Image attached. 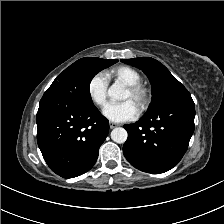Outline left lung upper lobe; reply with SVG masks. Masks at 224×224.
Masks as SVG:
<instances>
[{"label":"left lung upper lobe","instance_id":"5c2ea615","mask_svg":"<svg viewBox=\"0 0 224 224\" xmlns=\"http://www.w3.org/2000/svg\"><path fill=\"white\" fill-rule=\"evenodd\" d=\"M121 61L141 69L150 80L152 101L145 115L156 113L168 104L191 98L187 89L159 61L150 57Z\"/></svg>","mask_w":224,"mask_h":224}]
</instances>
